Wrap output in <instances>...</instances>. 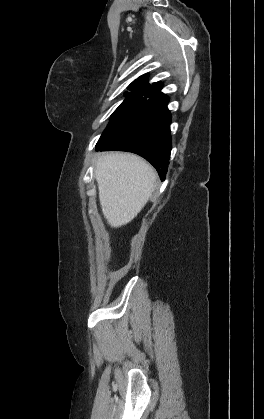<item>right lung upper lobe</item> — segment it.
I'll return each instance as SVG.
<instances>
[{
	"instance_id": "obj_1",
	"label": "right lung upper lobe",
	"mask_w": 264,
	"mask_h": 419,
	"mask_svg": "<svg viewBox=\"0 0 264 419\" xmlns=\"http://www.w3.org/2000/svg\"><path fill=\"white\" fill-rule=\"evenodd\" d=\"M162 84L159 82H156L152 85L147 83V75H142L135 81H133L128 89L144 96H147L148 98H154L158 96H163L164 94L161 92Z\"/></svg>"
}]
</instances>
